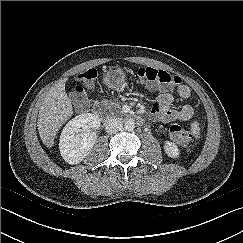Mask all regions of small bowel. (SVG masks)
Wrapping results in <instances>:
<instances>
[{
	"label": "small bowel",
	"instance_id": "1",
	"mask_svg": "<svg viewBox=\"0 0 243 243\" xmlns=\"http://www.w3.org/2000/svg\"><path fill=\"white\" fill-rule=\"evenodd\" d=\"M151 90H156L154 87H150ZM178 96L185 100L190 96V89L186 85H180L177 89ZM173 95L170 92L163 91L154 102L152 111L154 116L162 122H171L175 120L187 121L194 113L192 106L184 105L178 109L172 107Z\"/></svg>",
	"mask_w": 243,
	"mask_h": 243
}]
</instances>
